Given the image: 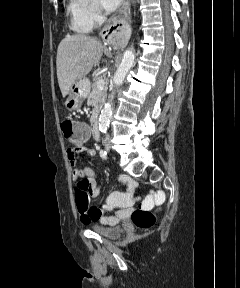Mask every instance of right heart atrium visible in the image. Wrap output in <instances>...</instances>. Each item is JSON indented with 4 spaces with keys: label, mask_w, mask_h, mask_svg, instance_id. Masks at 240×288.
Listing matches in <instances>:
<instances>
[{
    "label": "right heart atrium",
    "mask_w": 240,
    "mask_h": 288,
    "mask_svg": "<svg viewBox=\"0 0 240 288\" xmlns=\"http://www.w3.org/2000/svg\"><path fill=\"white\" fill-rule=\"evenodd\" d=\"M84 18L91 24L100 23L104 14L98 0H78Z\"/></svg>",
    "instance_id": "d8ad5b80"
}]
</instances>
